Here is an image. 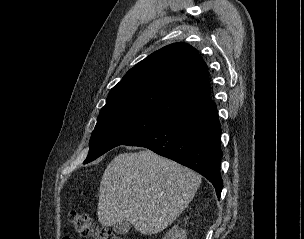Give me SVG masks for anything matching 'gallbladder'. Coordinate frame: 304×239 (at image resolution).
Segmentation results:
<instances>
[{"label": "gallbladder", "mask_w": 304, "mask_h": 239, "mask_svg": "<svg viewBox=\"0 0 304 239\" xmlns=\"http://www.w3.org/2000/svg\"><path fill=\"white\" fill-rule=\"evenodd\" d=\"M130 228H131V223H129L127 221L117 222L113 226V230L117 234H123V235L128 233Z\"/></svg>", "instance_id": "obj_1"}]
</instances>
